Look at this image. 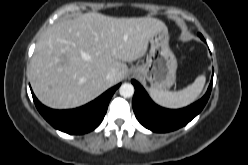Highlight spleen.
Segmentation results:
<instances>
[{"label":"spleen","mask_w":248,"mask_h":165,"mask_svg":"<svg viewBox=\"0 0 248 165\" xmlns=\"http://www.w3.org/2000/svg\"><path fill=\"white\" fill-rule=\"evenodd\" d=\"M206 81L205 75L198 76L195 81L177 92L158 90L150 87L149 92L153 100L167 108H182L194 102L203 90Z\"/></svg>","instance_id":"3e777b00"}]
</instances>
